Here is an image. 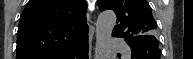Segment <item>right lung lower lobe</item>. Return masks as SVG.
I'll use <instances>...</instances> for the list:
<instances>
[{
    "instance_id": "1",
    "label": "right lung lower lobe",
    "mask_w": 193,
    "mask_h": 59,
    "mask_svg": "<svg viewBox=\"0 0 193 59\" xmlns=\"http://www.w3.org/2000/svg\"><path fill=\"white\" fill-rule=\"evenodd\" d=\"M88 38L80 42L70 50L55 59H87L88 58Z\"/></svg>"
}]
</instances>
